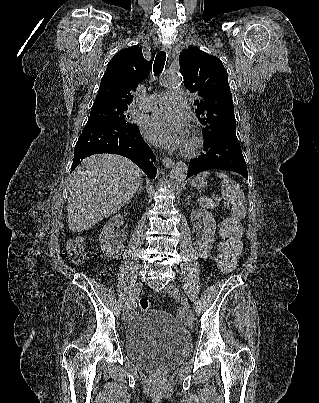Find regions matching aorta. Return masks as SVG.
<instances>
[{
	"mask_svg": "<svg viewBox=\"0 0 319 403\" xmlns=\"http://www.w3.org/2000/svg\"><path fill=\"white\" fill-rule=\"evenodd\" d=\"M162 83L166 87H179L181 85V78L177 74L167 73L162 77ZM188 167L185 162L179 161L173 167L170 179L169 187L172 190H177L180 188L187 177Z\"/></svg>",
	"mask_w": 319,
	"mask_h": 403,
	"instance_id": "762f6f07",
	"label": "aorta"
}]
</instances>
